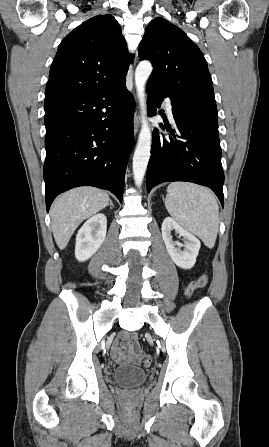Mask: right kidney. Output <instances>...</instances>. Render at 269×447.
Masks as SVG:
<instances>
[{"instance_id": "obj_1", "label": "right kidney", "mask_w": 269, "mask_h": 447, "mask_svg": "<svg viewBox=\"0 0 269 447\" xmlns=\"http://www.w3.org/2000/svg\"><path fill=\"white\" fill-rule=\"evenodd\" d=\"M107 231V218L96 214L80 227L76 235L75 257L78 261L89 259L102 245Z\"/></svg>"}]
</instances>
